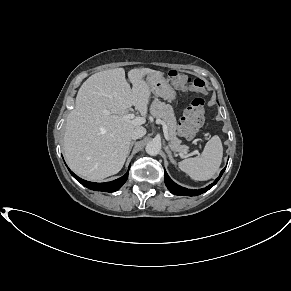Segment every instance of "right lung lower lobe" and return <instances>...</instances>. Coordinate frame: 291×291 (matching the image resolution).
I'll list each match as a JSON object with an SVG mask.
<instances>
[{"mask_svg": "<svg viewBox=\"0 0 291 291\" xmlns=\"http://www.w3.org/2000/svg\"><path fill=\"white\" fill-rule=\"evenodd\" d=\"M71 175L79 181L82 185L85 187L95 190V191H103V192H114L117 191L119 188L123 186V184L126 182L128 178V173H126L124 176L106 183H95V182H89L86 180H83L79 178L77 175H75L71 170H69Z\"/></svg>", "mask_w": 291, "mask_h": 291, "instance_id": "right-lung-lower-lobe-1", "label": "right lung lower lobe"}]
</instances>
